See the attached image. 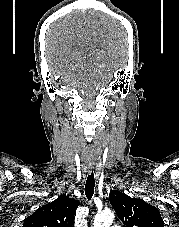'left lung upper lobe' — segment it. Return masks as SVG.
Returning <instances> with one entry per match:
<instances>
[{"label": "left lung upper lobe", "mask_w": 179, "mask_h": 227, "mask_svg": "<svg viewBox=\"0 0 179 227\" xmlns=\"http://www.w3.org/2000/svg\"><path fill=\"white\" fill-rule=\"evenodd\" d=\"M110 204L126 227H164L159 210L143 200L112 190Z\"/></svg>", "instance_id": "1"}]
</instances>
